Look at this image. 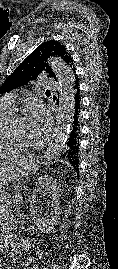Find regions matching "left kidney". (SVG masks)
I'll use <instances>...</instances> for the list:
<instances>
[{
	"mask_svg": "<svg viewBox=\"0 0 118 269\" xmlns=\"http://www.w3.org/2000/svg\"><path fill=\"white\" fill-rule=\"evenodd\" d=\"M46 191L50 194L52 208H51V217L44 219L40 216L37 205V195L42 191ZM61 214L60 208V185L56 179H53L50 176L41 177L35 185V188L32 192V197L30 200V215L39 230L44 233H50L54 230L55 225L57 224L58 217Z\"/></svg>",
	"mask_w": 118,
	"mask_h": 269,
	"instance_id": "1",
	"label": "left kidney"
}]
</instances>
